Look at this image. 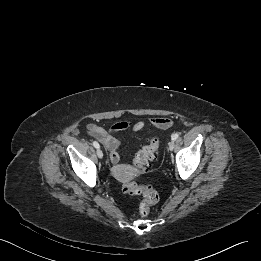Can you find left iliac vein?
I'll return each mask as SVG.
<instances>
[{
  "instance_id": "1",
  "label": "left iliac vein",
  "mask_w": 261,
  "mask_h": 261,
  "mask_svg": "<svg viewBox=\"0 0 261 261\" xmlns=\"http://www.w3.org/2000/svg\"><path fill=\"white\" fill-rule=\"evenodd\" d=\"M169 150H173L174 149V141H170L168 144Z\"/></svg>"
}]
</instances>
